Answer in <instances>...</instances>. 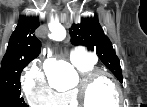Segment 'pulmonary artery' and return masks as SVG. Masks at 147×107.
Returning <instances> with one entry per match:
<instances>
[{
  "mask_svg": "<svg viewBox=\"0 0 147 107\" xmlns=\"http://www.w3.org/2000/svg\"><path fill=\"white\" fill-rule=\"evenodd\" d=\"M96 59L91 54L86 53L81 48H74L71 50L70 53V61L73 64H79V63H87V62H94Z\"/></svg>",
  "mask_w": 147,
  "mask_h": 107,
  "instance_id": "pulmonary-artery-1",
  "label": "pulmonary artery"
}]
</instances>
